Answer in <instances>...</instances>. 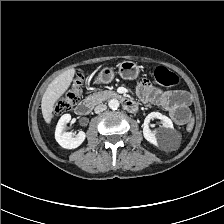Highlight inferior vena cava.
<instances>
[{
    "mask_svg": "<svg viewBox=\"0 0 224 224\" xmlns=\"http://www.w3.org/2000/svg\"><path fill=\"white\" fill-rule=\"evenodd\" d=\"M107 109V106L104 104H99L95 107L94 111L96 114H99Z\"/></svg>",
    "mask_w": 224,
    "mask_h": 224,
    "instance_id": "inferior-vena-cava-1",
    "label": "inferior vena cava"
}]
</instances>
